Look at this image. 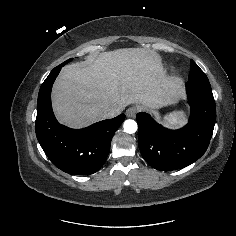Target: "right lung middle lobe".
Returning <instances> with one entry per match:
<instances>
[{
    "mask_svg": "<svg viewBox=\"0 0 236 236\" xmlns=\"http://www.w3.org/2000/svg\"><path fill=\"white\" fill-rule=\"evenodd\" d=\"M72 60V58L71 59H69V60H67V61H65L64 63H62L61 65L62 66H64L65 64H67L68 62H70Z\"/></svg>",
    "mask_w": 236,
    "mask_h": 236,
    "instance_id": "dd1d6c3e",
    "label": "right lung middle lobe"
}]
</instances>
